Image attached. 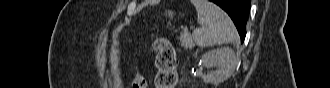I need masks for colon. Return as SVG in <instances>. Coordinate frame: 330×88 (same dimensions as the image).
<instances>
[{
    "mask_svg": "<svg viewBox=\"0 0 330 88\" xmlns=\"http://www.w3.org/2000/svg\"><path fill=\"white\" fill-rule=\"evenodd\" d=\"M157 52L156 56V88H174L177 80L176 59L170 42L163 37L156 38L151 43ZM146 82L139 71L135 75L133 88H145Z\"/></svg>",
    "mask_w": 330,
    "mask_h": 88,
    "instance_id": "1",
    "label": "colon"
}]
</instances>
